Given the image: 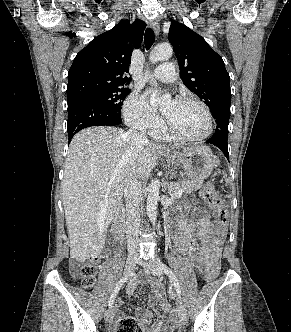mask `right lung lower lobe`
<instances>
[{
    "instance_id": "1",
    "label": "right lung lower lobe",
    "mask_w": 291,
    "mask_h": 332,
    "mask_svg": "<svg viewBox=\"0 0 291 332\" xmlns=\"http://www.w3.org/2000/svg\"><path fill=\"white\" fill-rule=\"evenodd\" d=\"M67 102L69 141L81 129L91 126H115L122 123L121 117L115 111L88 96L79 95Z\"/></svg>"
}]
</instances>
